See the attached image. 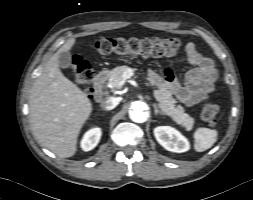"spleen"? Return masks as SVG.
Instances as JSON below:
<instances>
[{
    "label": "spleen",
    "instance_id": "spleen-1",
    "mask_svg": "<svg viewBox=\"0 0 253 200\" xmlns=\"http://www.w3.org/2000/svg\"><path fill=\"white\" fill-rule=\"evenodd\" d=\"M194 148L197 152L205 151L217 141V131L209 128H198L194 133Z\"/></svg>",
    "mask_w": 253,
    "mask_h": 200
}]
</instances>
